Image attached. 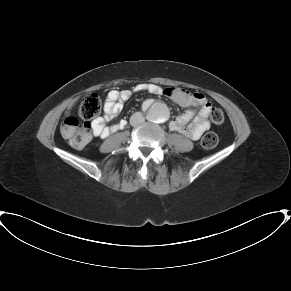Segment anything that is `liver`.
I'll list each match as a JSON object with an SVG mask.
<instances>
[{"label": "liver", "instance_id": "obj_1", "mask_svg": "<svg viewBox=\"0 0 291 291\" xmlns=\"http://www.w3.org/2000/svg\"><path fill=\"white\" fill-rule=\"evenodd\" d=\"M73 104H74V103H71V104L69 105V108H72Z\"/></svg>", "mask_w": 291, "mask_h": 291}]
</instances>
